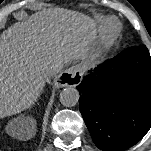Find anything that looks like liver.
I'll list each match as a JSON object with an SVG mask.
<instances>
[{"mask_svg": "<svg viewBox=\"0 0 151 151\" xmlns=\"http://www.w3.org/2000/svg\"><path fill=\"white\" fill-rule=\"evenodd\" d=\"M95 21L80 12L49 9L15 23L0 38V119L29 108L55 65L85 59ZM36 134L33 122L27 131Z\"/></svg>", "mask_w": 151, "mask_h": 151, "instance_id": "1", "label": "liver"}]
</instances>
